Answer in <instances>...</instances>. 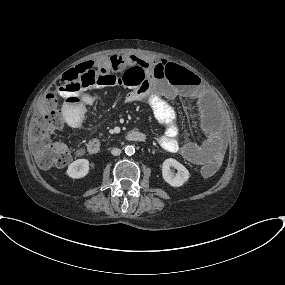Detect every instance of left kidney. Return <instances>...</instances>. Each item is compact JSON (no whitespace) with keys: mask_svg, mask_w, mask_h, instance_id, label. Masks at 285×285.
<instances>
[{"mask_svg":"<svg viewBox=\"0 0 285 285\" xmlns=\"http://www.w3.org/2000/svg\"><path fill=\"white\" fill-rule=\"evenodd\" d=\"M170 167L177 169V174L174 175L171 172ZM189 171L173 158L166 159L162 164V177L163 179L173 187L182 186L189 179Z\"/></svg>","mask_w":285,"mask_h":285,"instance_id":"left-kidney-1","label":"left kidney"}]
</instances>
